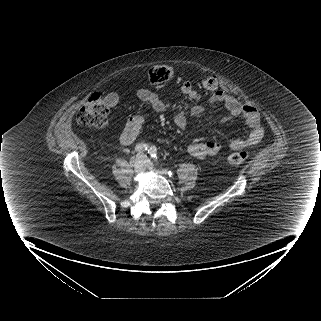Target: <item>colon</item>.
<instances>
[{"label": "colon", "instance_id": "1", "mask_svg": "<svg viewBox=\"0 0 321 321\" xmlns=\"http://www.w3.org/2000/svg\"><path fill=\"white\" fill-rule=\"evenodd\" d=\"M149 78L153 83H164L169 81L173 76V69L167 65H157L149 70ZM204 89L215 91L218 88L216 77H208L202 82ZM109 106L106 101L99 95H91L82 105L77 114V121L85 127H103L107 123ZM249 157V153L240 150L230 153L226 161L230 165H241Z\"/></svg>", "mask_w": 321, "mask_h": 321}]
</instances>
